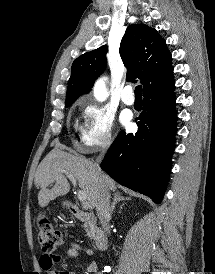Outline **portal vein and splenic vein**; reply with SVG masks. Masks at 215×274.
I'll list each match as a JSON object with an SVG mask.
<instances>
[{
  "instance_id": "18ae733b",
  "label": "portal vein and splenic vein",
  "mask_w": 215,
  "mask_h": 274,
  "mask_svg": "<svg viewBox=\"0 0 215 274\" xmlns=\"http://www.w3.org/2000/svg\"><path fill=\"white\" fill-rule=\"evenodd\" d=\"M61 173L65 174L69 178V180L72 182V184L74 186H76V179L74 178V176L71 173H69L65 170H61ZM77 197L82 203H84L86 205L87 196H86V193L84 191L78 190L77 191Z\"/></svg>"
}]
</instances>
